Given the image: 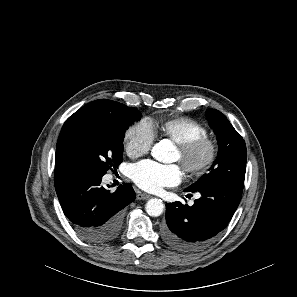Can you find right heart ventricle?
<instances>
[{"mask_svg":"<svg viewBox=\"0 0 297 297\" xmlns=\"http://www.w3.org/2000/svg\"><path fill=\"white\" fill-rule=\"evenodd\" d=\"M150 124L154 134L158 133L176 144L186 143L209 133L206 126L186 116L162 118Z\"/></svg>","mask_w":297,"mask_h":297,"instance_id":"right-heart-ventricle-1","label":"right heart ventricle"}]
</instances>
